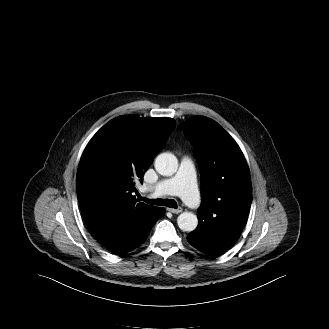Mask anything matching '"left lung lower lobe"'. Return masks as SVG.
<instances>
[{
    "mask_svg": "<svg viewBox=\"0 0 329 329\" xmlns=\"http://www.w3.org/2000/svg\"><path fill=\"white\" fill-rule=\"evenodd\" d=\"M243 227L241 223L230 222L222 232H208L198 226L188 235L187 240L199 251L209 256H218L236 243Z\"/></svg>",
    "mask_w": 329,
    "mask_h": 329,
    "instance_id": "left-lung-lower-lobe-1",
    "label": "left lung lower lobe"
}]
</instances>
